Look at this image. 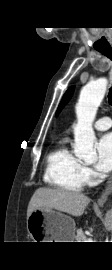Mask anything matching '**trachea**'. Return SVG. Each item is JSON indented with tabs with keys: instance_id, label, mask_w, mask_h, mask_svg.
Listing matches in <instances>:
<instances>
[{
	"instance_id": "obj_1",
	"label": "trachea",
	"mask_w": 112,
	"mask_h": 270,
	"mask_svg": "<svg viewBox=\"0 0 112 270\" xmlns=\"http://www.w3.org/2000/svg\"><path fill=\"white\" fill-rule=\"evenodd\" d=\"M97 51H99L100 53L105 55L107 58L112 60V48L111 47L103 48V49H97ZM108 101H109V104L112 106V87L109 89Z\"/></svg>"
}]
</instances>
